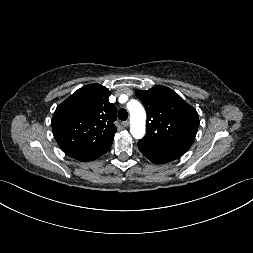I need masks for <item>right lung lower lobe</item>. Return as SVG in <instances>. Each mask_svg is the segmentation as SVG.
Here are the masks:
<instances>
[{
  "mask_svg": "<svg viewBox=\"0 0 253 253\" xmlns=\"http://www.w3.org/2000/svg\"><path fill=\"white\" fill-rule=\"evenodd\" d=\"M112 142L105 144L101 147H98L94 150L82 153L78 156H76L74 159L79 160V161H91L94 159L99 158L100 156H102L103 154H105L111 147Z\"/></svg>",
  "mask_w": 253,
  "mask_h": 253,
  "instance_id": "right-lung-lower-lobe-1",
  "label": "right lung lower lobe"
}]
</instances>
